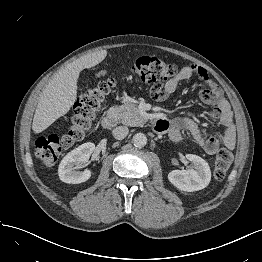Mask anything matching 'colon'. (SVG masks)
Wrapping results in <instances>:
<instances>
[{
	"label": "colon",
	"mask_w": 262,
	"mask_h": 262,
	"mask_svg": "<svg viewBox=\"0 0 262 262\" xmlns=\"http://www.w3.org/2000/svg\"><path fill=\"white\" fill-rule=\"evenodd\" d=\"M137 81L151 86L150 94L154 99L165 97L164 86L174 78L178 71L175 65L157 57H141L129 69ZM99 82L88 88L77 100L73 115L63 120L62 135L40 136L34 142L35 151L45 166L54 165L64 150L82 139L92 129L103 100L114 85L113 78L108 71L101 70L96 74ZM233 156L228 150L218 152L214 162V176L216 179L225 177L231 166Z\"/></svg>",
	"instance_id": "5ec220e1"
}]
</instances>
